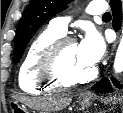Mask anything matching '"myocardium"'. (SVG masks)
<instances>
[{
    "mask_svg": "<svg viewBox=\"0 0 123 113\" xmlns=\"http://www.w3.org/2000/svg\"><path fill=\"white\" fill-rule=\"evenodd\" d=\"M70 44H76V40L72 37L62 36L47 48L39 63L42 79L60 87H70L87 83L95 78L97 74L95 68L81 78H70L65 74L62 68V57L66 47Z\"/></svg>",
    "mask_w": 123,
    "mask_h": 113,
    "instance_id": "1",
    "label": "myocardium"
}]
</instances>
